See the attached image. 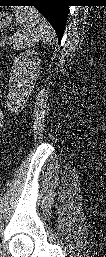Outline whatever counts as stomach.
Segmentation results:
<instances>
[{
	"label": "stomach",
	"instance_id": "1",
	"mask_svg": "<svg viewBox=\"0 0 106 257\" xmlns=\"http://www.w3.org/2000/svg\"><path fill=\"white\" fill-rule=\"evenodd\" d=\"M1 17L2 21L0 23V28L8 27L12 22V15L8 12H2Z\"/></svg>",
	"mask_w": 106,
	"mask_h": 257
}]
</instances>
